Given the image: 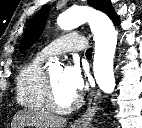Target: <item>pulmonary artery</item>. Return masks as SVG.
<instances>
[{"label": "pulmonary artery", "instance_id": "obj_1", "mask_svg": "<svg viewBox=\"0 0 142 128\" xmlns=\"http://www.w3.org/2000/svg\"><path fill=\"white\" fill-rule=\"evenodd\" d=\"M86 49V39L82 35L78 33H68L44 47L41 54L47 57L70 51H85Z\"/></svg>", "mask_w": 142, "mask_h": 128}]
</instances>
